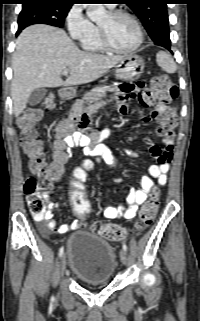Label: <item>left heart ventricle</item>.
<instances>
[{"label":"left heart ventricle","instance_id":"1","mask_svg":"<svg viewBox=\"0 0 200 321\" xmlns=\"http://www.w3.org/2000/svg\"><path fill=\"white\" fill-rule=\"evenodd\" d=\"M99 25L106 30L111 42L117 48H130L137 42V29L129 18H111L107 14Z\"/></svg>","mask_w":200,"mask_h":321}]
</instances>
